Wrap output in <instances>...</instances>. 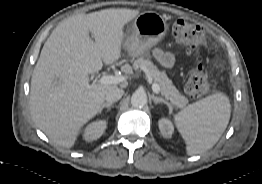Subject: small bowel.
<instances>
[{"label": "small bowel", "instance_id": "small-bowel-1", "mask_svg": "<svg viewBox=\"0 0 262 184\" xmlns=\"http://www.w3.org/2000/svg\"><path fill=\"white\" fill-rule=\"evenodd\" d=\"M154 56L159 61V63L166 68L173 67L177 60L176 54L165 52L159 48L154 49Z\"/></svg>", "mask_w": 262, "mask_h": 184}]
</instances>
